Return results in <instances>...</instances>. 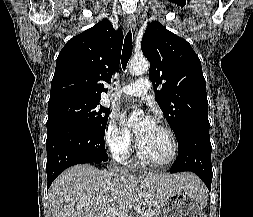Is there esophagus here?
I'll list each match as a JSON object with an SVG mask.
<instances>
[{"mask_svg":"<svg viewBox=\"0 0 253 217\" xmlns=\"http://www.w3.org/2000/svg\"><path fill=\"white\" fill-rule=\"evenodd\" d=\"M126 24L128 27L134 29L136 26V19L134 14H129L126 19Z\"/></svg>","mask_w":253,"mask_h":217,"instance_id":"34e87169","label":"esophagus"}]
</instances>
